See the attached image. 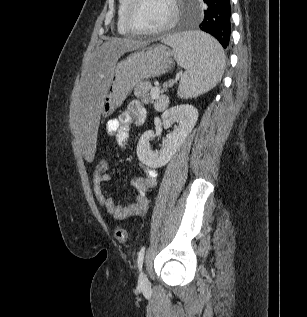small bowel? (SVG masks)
Segmentation results:
<instances>
[{
	"instance_id": "small-bowel-1",
	"label": "small bowel",
	"mask_w": 307,
	"mask_h": 317,
	"mask_svg": "<svg viewBox=\"0 0 307 317\" xmlns=\"http://www.w3.org/2000/svg\"><path fill=\"white\" fill-rule=\"evenodd\" d=\"M146 119V110L139 101H132L128 108L118 117L110 119L106 123V131L109 136L116 139L121 148H126L129 140V128L135 123L142 124ZM143 176L133 179L132 184L136 194L125 204H117L105 190V184L112 180L109 173L93 174V189L99 204L117 220H123L132 216L141 215L148 207L147 192L157 182V171L149 166H142Z\"/></svg>"
}]
</instances>
